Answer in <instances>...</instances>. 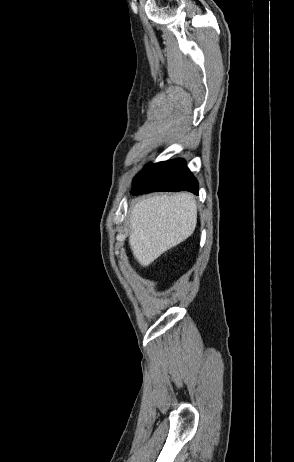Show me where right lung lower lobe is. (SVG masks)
Instances as JSON below:
<instances>
[{"label":"right lung lower lobe","mask_w":294,"mask_h":462,"mask_svg":"<svg viewBox=\"0 0 294 462\" xmlns=\"http://www.w3.org/2000/svg\"><path fill=\"white\" fill-rule=\"evenodd\" d=\"M190 191L198 194V182L182 159L150 164L134 179L131 194L154 191Z\"/></svg>","instance_id":"98d812e1"}]
</instances>
